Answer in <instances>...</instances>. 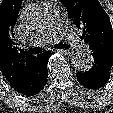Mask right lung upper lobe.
Instances as JSON below:
<instances>
[{"label":"right lung upper lobe","mask_w":113,"mask_h":113,"mask_svg":"<svg viewBox=\"0 0 113 113\" xmlns=\"http://www.w3.org/2000/svg\"><path fill=\"white\" fill-rule=\"evenodd\" d=\"M22 0H3L0 5V70L13 87L28 75L36 57L19 49L13 28Z\"/></svg>","instance_id":"right-lung-upper-lobe-1"}]
</instances>
